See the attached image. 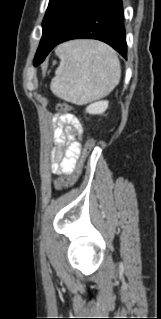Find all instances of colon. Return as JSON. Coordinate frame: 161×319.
Listing matches in <instances>:
<instances>
[{"label":"colon","instance_id":"colon-1","mask_svg":"<svg viewBox=\"0 0 161 319\" xmlns=\"http://www.w3.org/2000/svg\"><path fill=\"white\" fill-rule=\"evenodd\" d=\"M58 107L61 110L66 111V112H69L72 110V107L70 105H67L64 103L60 104ZM94 145H95V140L93 138H90L86 141L85 146H84L83 151H82V154L80 156V159L77 162L73 172L66 177H61V178L56 179L54 181L55 187H57L58 189L68 188L78 180V178L82 174L84 159H85L86 155L88 154V152L92 150Z\"/></svg>","mask_w":161,"mask_h":319}]
</instances>
